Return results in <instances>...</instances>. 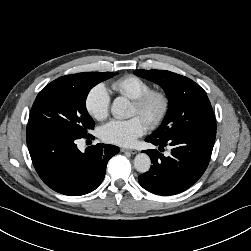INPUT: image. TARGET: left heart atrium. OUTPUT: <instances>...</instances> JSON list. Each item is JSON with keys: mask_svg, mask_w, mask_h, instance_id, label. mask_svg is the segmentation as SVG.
Segmentation results:
<instances>
[{"mask_svg": "<svg viewBox=\"0 0 251 251\" xmlns=\"http://www.w3.org/2000/svg\"><path fill=\"white\" fill-rule=\"evenodd\" d=\"M147 129L146 121L140 116L127 120H111L100 129V138L107 143L131 146Z\"/></svg>", "mask_w": 251, "mask_h": 251, "instance_id": "39dd6f15", "label": "left heart atrium"}]
</instances>
